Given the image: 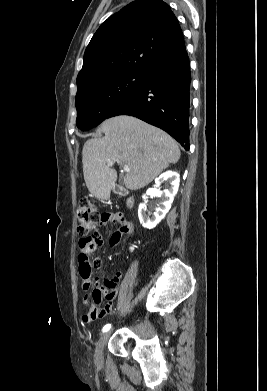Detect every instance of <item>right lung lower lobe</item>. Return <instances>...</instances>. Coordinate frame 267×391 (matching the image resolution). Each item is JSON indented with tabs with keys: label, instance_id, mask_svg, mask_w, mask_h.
<instances>
[{
	"label": "right lung lower lobe",
	"instance_id": "1",
	"mask_svg": "<svg viewBox=\"0 0 267 391\" xmlns=\"http://www.w3.org/2000/svg\"><path fill=\"white\" fill-rule=\"evenodd\" d=\"M190 85V63L185 49L148 68L141 88L108 118L122 114L135 116L163 129L188 150Z\"/></svg>",
	"mask_w": 267,
	"mask_h": 391
}]
</instances>
